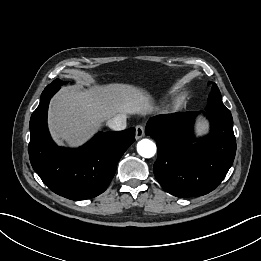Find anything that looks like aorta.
Returning <instances> with one entry per match:
<instances>
[{"label":"aorta","instance_id":"obj_1","mask_svg":"<svg viewBox=\"0 0 261 261\" xmlns=\"http://www.w3.org/2000/svg\"><path fill=\"white\" fill-rule=\"evenodd\" d=\"M137 152L144 158H151L156 153V145L149 139H142L137 144Z\"/></svg>","mask_w":261,"mask_h":261}]
</instances>
